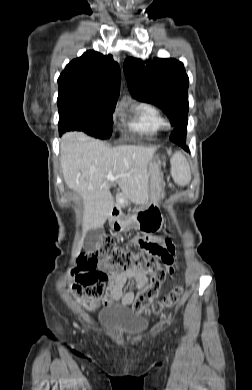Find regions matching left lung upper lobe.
I'll list each match as a JSON object with an SVG mask.
<instances>
[{
  "label": "left lung upper lobe",
  "instance_id": "1",
  "mask_svg": "<svg viewBox=\"0 0 252 390\" xmlns=\"http://www.w3.org/2000/svg\"><path fill=\"white\" fill-rule=\"evenodd\" d=\"M124 73L133 98L161 108L176 128L170 140L186 132L188 116L189 78L182 62L171 58L143 61L129 57L124 62Z\"/></svg>",
  "mask_w": 252,
  "mask_h": 390
}]
</instances>
